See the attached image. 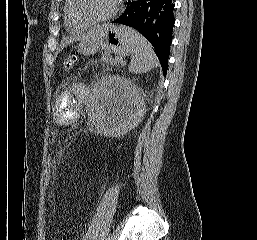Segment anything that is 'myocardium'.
I'll return each instance as SVG.
<instances>
[{"label": "myocardium", "instance_id": "obj_1", "mask_svg": "<svg viewBox=\"0 0 257 240\" xmlns=\"http://www.w3.org/2000/svg\"><path fill=\"white\" fill-rule=\"evenodd\" d=\"M119 9V2L116 1L114 8L109 12L108 14L101 16V17H96L92 16L89 13H87L84 8H83V0H73V10L76 15V17L90 25H95L99 23L106 22L110 19H112L116 13L118 12Z\"/></svg>", "mask_w": 257, "mask_h": 240}]
</instances>
